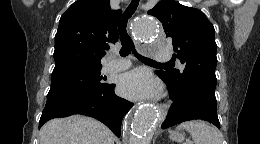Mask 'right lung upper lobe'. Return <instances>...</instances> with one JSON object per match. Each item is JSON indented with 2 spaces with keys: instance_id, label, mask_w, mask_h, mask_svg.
<instances>
[{
  "instance_id": "right-lung-upper-lobe-1",
  "label": "right lung upper lobe",
  "mask_w": 260,
  "mask_h": 144,
  "mask_svg": "<svg viewBox=\"0 0 260 144\" xmlns=\"http://www.w3.org/2000/svg\"><path fill=\"white\" fill-rule=\"evenodd\" d=\"M121 10L110 0H78L61 16L55 35L54 70L71 65L102 66L110 44L118 41Z\"/></svg>"
}]
</instances>
